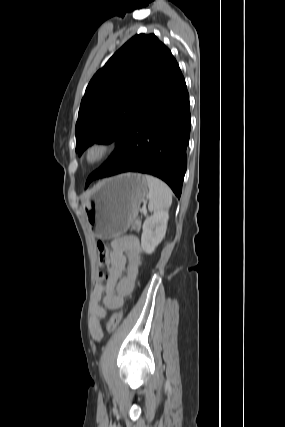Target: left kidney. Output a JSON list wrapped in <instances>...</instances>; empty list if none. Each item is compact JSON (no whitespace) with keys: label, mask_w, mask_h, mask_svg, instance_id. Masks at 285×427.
I'll return each mask as SVG.
<instances>
[{"label":"left kidney","mask_w":285,"mask_h":427,"mask_svg":"<svg viewBox=\"0 0 285 427\" xmlns=\"http://www.w3.org/2000/svg\"><path fill=\"white\" fill-rule=\"evenodd\" d=\"M168 218V211H160L145 220L141 236V247L146 254H152L165 237Z\"/></svg>","instance_id":"left-kidney-1"}]
</instances>
